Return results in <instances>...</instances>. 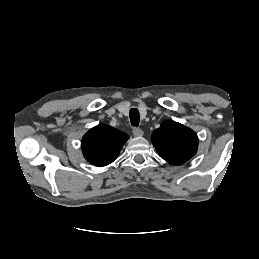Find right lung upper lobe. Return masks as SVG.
<instances>
[{
  "label": "right lung upper lobe",
  "instance_id": "1",
  "mask_svg": "<svg viewBox=\"0 0 259 259\" xmlns=\"http://www.w3.org/2000/svg\"><path fill=\"white\" fill-rule=\"evenodd\" d=\"M129 136L109 125L99 124L90 129L82 138L83 155L96 166L112 163Z\"/></svg>",
  "mask_w": 259,
  "mask_h": 259
}]
</instances>
